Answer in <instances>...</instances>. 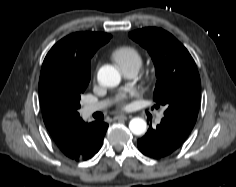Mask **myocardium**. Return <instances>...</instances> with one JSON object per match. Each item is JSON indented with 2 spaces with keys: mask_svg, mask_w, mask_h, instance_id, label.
<instances>
[{
  "mask_svg": "<svg viewBox=\"0 0 236 187\" xmlns=\"http://www.w3.org/2000/svg\"><path fill=\"white\" fill-rule=\"evenodd\" d=\"M152 80H153L152 75L147 74L146 77H145V82H146V83H150Z\"/></svg>",
  "mask_w": 236,
  "mask_h": 187,
  "instance_id": "f54148a6",
  "label": "myocardium"
}]
</instances>
